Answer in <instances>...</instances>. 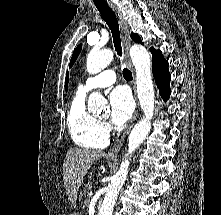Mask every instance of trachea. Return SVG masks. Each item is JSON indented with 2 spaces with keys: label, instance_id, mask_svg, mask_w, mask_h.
Here are the masks:
<instances>
[{
  "label": "trachea",
  "instance_id": "1",
  "mask_svg": "<svg viewBox=\"0 0 221 215\" xmlns=\"http://www.w3.org/2000/svg\"><path fill=\"white\" fill-rule=\"evenodd\" d=\"M96 8L100 12L103 20L107 23L109 26L112 37H113V42H114V47L119 56H122V47H121V39H120V31H119V24L117 21V18L112 11V9L109 7L107 3H95ZM123 77L126 80H131L132 79V73L127 69H123Z\"/></svg>",
  "mask_w": 221,
  "mask_h": 215
}]
</instances>
